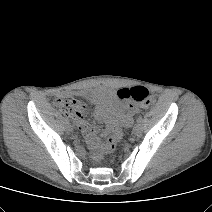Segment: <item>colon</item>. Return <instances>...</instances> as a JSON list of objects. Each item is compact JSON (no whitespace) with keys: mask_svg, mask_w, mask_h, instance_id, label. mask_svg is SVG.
Wrapping results in <instances>:
<instances>
[{"mask_svg":"<svg viewBox=\"0 0 212 212\" xmlns=\"http://www.w3.org/2000/svg\"><path fill=\"white\" fill-rule=\"evenodd\" d=\"M121 100H133L141 105L148 106L154 102L150 92L144 86H134L130 88H122L116 93ZM61 112L65 115L73 117L75 120L82 117L85 112V106L78 100L70 96H62L57 100ZM122 138V132L119 128L115 129L106 142L101 146V152L113 154L117 143ZM97 159L101 158V154L96 155Z\"/></svg>","mask_w":212,"mask_h":212,"instance_id":"5ec220e1","label":"colon"}]
</instances>
